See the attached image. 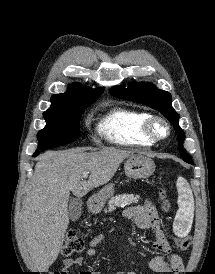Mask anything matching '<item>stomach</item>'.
Instances as JSON below:
<instances>
[{"mask_svg": "<svg viewBox=\"0 0 215 274\" xmlns=\"http://www.w3.org/2000/svg\"><path fill=\"white\" fill-rule=\"evenodd\" d=\"M155 170V164L149 157L143 155H131L124 163L125 174L132 179H146L150 177ZM114 194L113 184L103 187L93 196V211H99L104 206L106 200Z\"/></svg>", "mask_w": 215, "mask_h": 274, "instance_id": "0dacf381", "label": "stomach"}]
</instances>
